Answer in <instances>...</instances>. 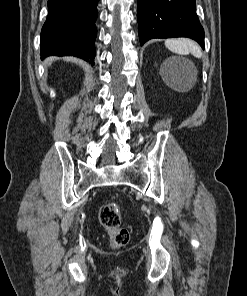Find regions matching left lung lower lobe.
I'll return each instance as SVG.
<instances>
[{
  "instance_id": "1",
  "label": "left lung lower lobe",
  "mask_w": 247,
  "mask_h": 296,
  "mask_svg": "<svg viewBox=\"0 0 247 296\" xmlns=\"http://www.w3.org/2000/svg\"><path fill=\"white\" fill-rule=\"evenodd\" d=\"M140 44L152 38L189 37L204 49L195 0H137Z\"/></svg>"
}]
</instances>
